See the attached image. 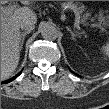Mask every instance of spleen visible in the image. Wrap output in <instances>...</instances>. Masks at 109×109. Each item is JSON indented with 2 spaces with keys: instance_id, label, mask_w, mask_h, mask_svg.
Instances as JSON below:
<instances>
[{
  "instance_id": "obj_1",
  "label": "spleen",
  "mask_w": 109,
  "mask_h": 109,
  "mask_svg": "<svg viewBox=\"0 0 109 109\" xmlns=\"http://www.w3.org/2000/svg\"><path fill=\"white\" fill-rule=\"evenodd\" d=\"M106 51L108 52V47L106 48Z\"/></svg>"
}]
</instances>
